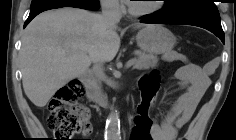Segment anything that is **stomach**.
<instances>
[{
  "label": "stomach",
  "mask_w": 236,
  "mask_h": 140,
  "mask_svg": "<svg viewBox=\"0 0 236 140\" xmlns=\"http://www.w3.org/2000/svg\"><path fill=\"white\" fill-rule=\"evenodd\" d=\"M136 40L138 46L150 54L169 53L176 42L174 35L161 25H150L141 29Z\"/></svg>",
  "instance_id": "0dacf381"
}]
</instances>
